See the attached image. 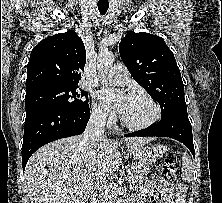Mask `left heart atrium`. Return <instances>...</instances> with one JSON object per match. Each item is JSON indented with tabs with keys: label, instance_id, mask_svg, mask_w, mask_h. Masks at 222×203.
Returning <instances> with one entry per match:
<instances>
[{
	"label": "left heart atrium",
	"instance_id": "obj_1",
	"mask_svg": "<svg viewBox=\"0 0 222 203\" xmlns=\"http://www.w3.org/2000/svg\"><path fill=\"white\" fill-rule=\"evenodd\" d=\"M98 97L108 109L122 114L129 96L114 89H103L99 91Z\"/></svg>",
	"mask_w": 222,
	"mask_h": 203
}]
</instances>
